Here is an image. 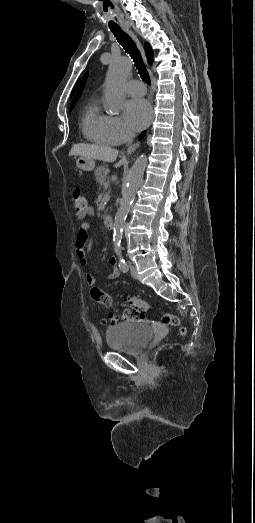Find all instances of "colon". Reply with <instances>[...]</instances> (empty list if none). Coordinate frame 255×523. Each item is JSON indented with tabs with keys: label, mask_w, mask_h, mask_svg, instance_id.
<instances>
[{
	"label": "colon",
	"mask_w": 255,
	"mask_h": 523,
	"mask_svg": "<svg viewBox=\"0 0 255 523\" xmlns=\"http://www.w3.org/2000/svg\"><path fill=\"white\" fill-rule=\"evenodd\" d=\"M72 204L77 212H82L87 209V199L85 195L80 192V190L76 189L71 196ZM90 285V293L91 297L94 301L97 303L105 306V307H112L115 303L114 298L107 294L106 292L102 291L100 288H98L93 282L89 283ZM122 305L129 306L132 309V312L130 311H124L122 314L123 319H129L131 317H139L144 316L146 312L149 310V304L137 297H126L122 301ZM110 320L112 322H116L119 320L118 316L111 315ZM162 322L167 325H171L174 327H177L179 329L180 335H185L186 329L182 325L181 320L178 316L171 314V313H164L162 315Z\"/></svg>",
	"instance_id": "colon-1"
}]
</instances>
